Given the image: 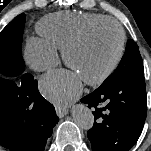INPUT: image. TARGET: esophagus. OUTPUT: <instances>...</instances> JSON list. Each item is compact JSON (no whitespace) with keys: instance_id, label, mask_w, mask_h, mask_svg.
<instances>
[{"instance_id":"esophagus-1","label":"esophagus","mask_w":151,"mask_h":151,"mask_svg":"<svg viewBox=\"0 0 151 151\" xmlns=\"http://www.w3.org/2000/svg\"><path fill=\"white\" fill-rule=\"evenodd\" d=\"M55 110H56L57 115H58L60 118H62V117H64L65 115L68 114V109L65 108V107H58V106H56V107H55Z\"/></svg>"}]
</instances>
